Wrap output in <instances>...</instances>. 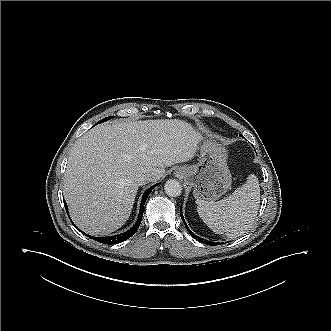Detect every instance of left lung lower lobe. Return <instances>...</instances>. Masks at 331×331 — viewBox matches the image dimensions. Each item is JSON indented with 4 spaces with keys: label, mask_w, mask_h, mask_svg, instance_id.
<instances>
[{
    "label": "left lung lower lobe",
    "mask_w": 331,
    "mask_h": 331,
    "mask_svg": "<svg viewBox=\"0 0 331 331\" xmlns=\"http://www.w3.org/2000/svg\"><path fill=\"white\" fill-rule=\"evenodd\" d=\"M180 215H181V218H182V221H183L184 225L186 226L187 231L189 232V234H190L194 239H196V240H198V241H200V242H202V243H204V244H208V245H217V244H218V243H213V242L207 241V240L202 239V238L198 237L197 235L193 234V233L190 231V229L188 228V226H187V224H186V222H185V220H184V218H183L182 208H180Z\"/></svg>",
    "instance_id": "0a47b994"
}]
</instances>
